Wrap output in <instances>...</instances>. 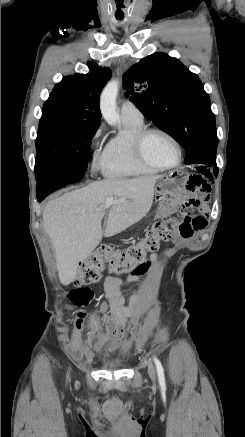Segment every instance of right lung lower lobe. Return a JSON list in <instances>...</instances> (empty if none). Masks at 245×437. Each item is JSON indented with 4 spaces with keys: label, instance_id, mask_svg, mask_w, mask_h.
<instances>
[{
    "label": "right lung lower lobe",
    "instance_id": "obj_1",
    "mask_svg": "<svg viewBox=\"0 0 245 437\" xmlns=\"http://www.w3.org/2000/svg\"><path fill=\"white\" fill-rule=\"evenodd\" d=\"M84 174L71 172H48L37 178V199L41 202L50 193L64 187L69 183H76Z\"/></svg>",
    "mask_w": 245,
    "mask_h": 437
}]
</instances>
